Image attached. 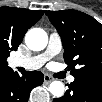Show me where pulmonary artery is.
Wrapping results in <instances>:
<instances>
[{
    "instance_id": "obj_1",
    "label": "pulmonary artery",
    "mask_w": 102,
    "mask_h": 102,
    "mask_svg": "<svg viewBox=\"0 0 102 102\" xmlns=\"http://www.w3.org/2000/svg\"><path fill=\"white\" fill-rule=\"evenodd\" d=\"M62 49V44L60 40H56L53 36H50L48 43V53L56 54ZM45 62L44 58H28V59H19L16 63L18 66H32L35 65L36 68L41 67ZM69 81H74V77L70 76Z\"/></svg>"
}]
</instances>
